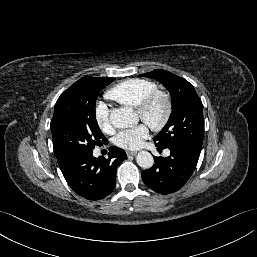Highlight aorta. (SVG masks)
Returning <instances> with one entry per match:
<instances>
[{"label": "aorta", "instance_id": "aorta-1", "mask_svg": "<svg viewBox=\"0 0 257 257\" xmlns=\"http://www.w3.org/2000/svg\"><path fill=\"white\" fill-rule=\"evenodd\" d=\"M110 122L116 128H128L138 123V116L131 108H115L110 113ZM136 161L144 169L151 168L154 163L153 156L148 151H140L137 154Z\"/></svg>", "mask_w": 257, "mask_h": 257}]
</instances>
